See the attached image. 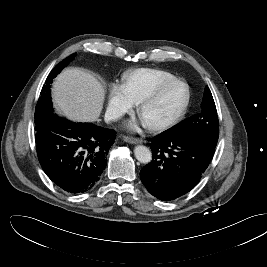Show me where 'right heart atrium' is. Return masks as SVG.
<instances>
[{"instance_id":"right-heart-atrium-1","label":"right heart atrium","mask_w":267,"mask_h":267,"mask_svg":"<svg viewBox=\"0 0 267 267\" xmlns=\"http://www.w3.org/2000/svg\"><path fill=\"white\" fill-rule=\"evenodd\" d=\"M134 104L127 96L123 85L113 84L109 90V99L106 114L111 120H117L125 113H128Z\"/></svg>"}]
</instances>
